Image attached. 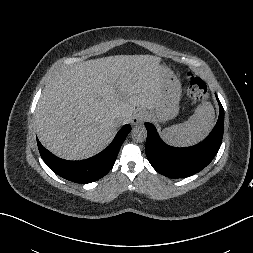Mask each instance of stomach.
Returning <instances> with one entry per match:
<instances>
[{"label": "stomach", "instance_id": "1", "mask_svg": "<svg viewBox=\"0 0 253 253\" xmlns=\"http://www.w3.org/2000/svg\"><path fill=\"white\" fill-rule=\"evenodd\" d=\"M165 73L162 77L163 99L151 116L159 122H166L175 118L179 113V101L182 93L181 84L177 76L166 66H162Z\"/></svg>", "mask_w": 253, "mask_h": 253}]
</instances>
